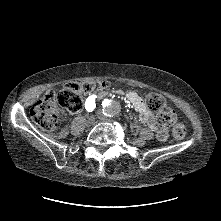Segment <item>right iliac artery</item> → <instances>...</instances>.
I'll use <instances>...</instances> for the list:
<instances>
[{
	"label": "right iliac artery",
	"mask_w": 221,
	"mask_h": 221,
	"mask_svg": "<svg viewBox=\"0 0 221 221\" xmlns=\"http://www.w3.org/2000/svg\"><path fill=\"white\" fill-rule=\"evenodd\" d=\"M95 98H96V95H94L93 98L90 99V97H89L86 100L85 108L88 112H92L95 109V107H96Z\"/></svg>",
	"instance_id": "82829eb1"
}]
</instances>
